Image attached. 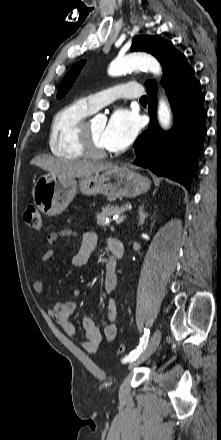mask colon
<instances>
[{
    "label": "colon",
    "mask_w": 221,
    "mask_h": 440,
    "mask_svg": "<svg viewBox=\"0 0 221 440\" xmlns=\"http://www.w3.org/2000/svg\"><path fill=\"white\" fill-rule=\"evenodd\" d=\"M24 219L27 225L34 229V230H40L42 227V220H41V214L37 207L35 206H29L24 213ZM118 354H122L125 352V345L120 344L117 348Z\"/></svg>",
    "instance_id": "obj_1"
}]
</instances>
